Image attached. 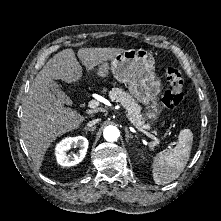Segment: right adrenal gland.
Listing matches in <instances>:
<instances>
[{"instance_id": "1", "label": "right adrenal gland", "mask_w": 221, "mask_h": 221, "mask_svg": "<svg viewBox=\"0 0 221 221\" xmlns=\"http://www.w3.org/2000/svg\"><path fill=\"white\" fill-rule=\"evenodd\" d=\"M95 129H96L95 126H94V127H91V128H89V127H84V130H85V131H91V132H93Z\"/></svg>"}]
</instances>
